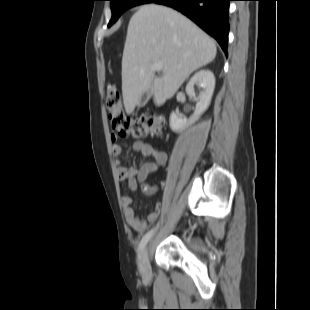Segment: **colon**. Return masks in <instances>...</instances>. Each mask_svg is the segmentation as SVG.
Masks as SVG:
<instances>
[{
  "label": "colon",
  "instance_id": "5ec220e1",
  "mask_svg": "<svg viewBox=\"0 0 310 310\" xmlns=\"http://www.w3.org/2000/svg\"><path fill=\"white\" fill-rule=\"evenodd\" d=\"M106 107L111 126L120 135L144 137L157 135L163 129L164 120L158 113L127 114L123 109L120 93L114 83L106 85Z\"/></svg>",
  "mask_w": 310,
  "mask_h": 310
}]
</instances>
